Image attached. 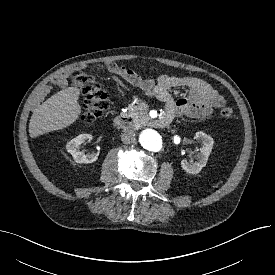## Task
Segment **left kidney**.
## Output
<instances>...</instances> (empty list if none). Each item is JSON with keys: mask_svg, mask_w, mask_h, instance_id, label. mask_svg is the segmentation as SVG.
<instances>
[{"mask_svg": "<svg viewBox=\"0 0 275 275\" xmlns=\"http://www.w3.org/2000/svg\"><path fill=\"white\" fill-rule=\"evenodd\" d=\"M196 137L200 138L202 141V146L199 152L195 155V161L183 159L181 161L182 169L188 174H198L203 167L206 166L208 157L213 148V138L205 134L202 131L196 132Z\"/></svg>", "mask_w": 275, "mask_h": 275, "instance_id": "1", "label": "left kidney"}]
</instances>
